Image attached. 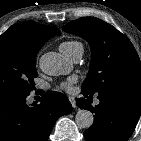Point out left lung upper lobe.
I'll use <instances>...</instances> for the list:
<instances>
[{
	"instance_id": "obj_1",
	"label": "left lung upper lobe",
	"mask_w": 141,
	"mask_h": 141,
	"mask_svg": "<svg viewBox=\"0 0 141 141\" xmlns=\"http://www.w3.org/2000/svg\"><path fill=\"white\" fill-rule=\"evenodd\" d=\"M86 39L91 47L90 70L82 91L141 92V62L130 40L112 25L95 17H84L63 27Z\"/></svg>"
}]
</instances>
